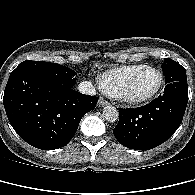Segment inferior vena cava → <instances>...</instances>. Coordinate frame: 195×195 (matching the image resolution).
<instances>
[{"label": "inferior vena cava", "instance_id": "inferior-vena-cava-1", "mask_svg": "<svg viewBox=\"0 0 195 195\" xmlns=\"http://www.w3.org/2000/svg\"><path fill=\"white\" fill-rule=\"evenodd\" d=\"M79 92L87 95H96V90L94 86L91 84V82L83 81L78 85Z\"/></svg>", "mask_w": 195, "mask_h": 195}]
</instances>
